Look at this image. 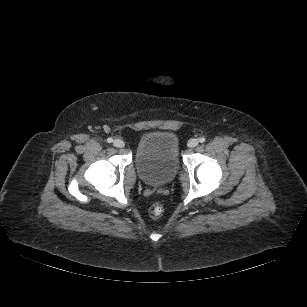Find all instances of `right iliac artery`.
I'll list each match as a JSON object with an SVG mask.
<instances>
[{"label":"right iliac artery","mask_w":307,"mask_h":307,"mask_svg":"<svg viewBox=\"0 0 307 307\" xmlns=\"http://www.w3.org/2000/svg\"><path fill=\"white\" fill-rule=\"evenodd\" d=\"M107 142L108 143H112L113 142V139L111 137L107 138Z\"/></svg>","instance_id":"obj_1"}]
</instances>
